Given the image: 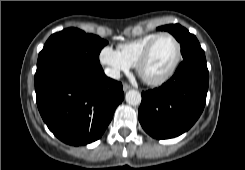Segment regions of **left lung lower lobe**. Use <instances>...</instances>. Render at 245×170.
<instances>
[{
	"label": "left lung lower lobe",
	"instance_id": "obj_1",
	"mask_svg": "<svg viewBox=\"0 0 245 170\" xmlns=\"http://www.w3.org/2000/svg\"><path fill=\"white\" fill-rule=\"evenodd\" d=\"M207 91L206 62L184 60L170 80L142 93L138 117L143 129L156 139L181 135L200 117Z\"/></svg>",
	"mask_w": 245,
	"mask_h": 170
}]
</instances>
